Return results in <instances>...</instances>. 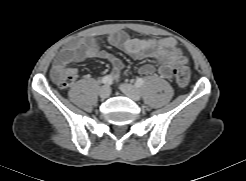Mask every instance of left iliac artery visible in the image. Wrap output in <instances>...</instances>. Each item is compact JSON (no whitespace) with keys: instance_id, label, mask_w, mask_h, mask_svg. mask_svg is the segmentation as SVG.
<instances>
[{"instance_id":"obj_1","label":"left iliac artery","mask_w":246,"mask_h":181,"mask_svg":"<svg viewBox=\"0 0 246 181\" xmlns=\"http://www.w3.org/2000/svg\"><path fill=\"white\" fill-rule=\"evenodd\" d=\"M136 86L141 87L144 84L143 78H138L135 82Z\"/></svg>"}]
</instances>
